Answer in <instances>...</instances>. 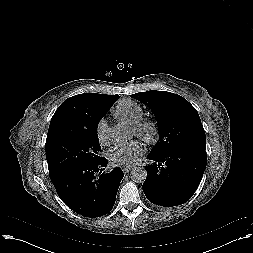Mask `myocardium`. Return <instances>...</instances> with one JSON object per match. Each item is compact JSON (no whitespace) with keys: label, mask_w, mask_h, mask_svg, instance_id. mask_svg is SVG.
<instances>
[{"label":"myocardium","mask_w":253,"mask_h":253,"mask_svg":"<svg viewBox=\"0 0 253 253\" xmlns=\"http://www.w3.org/2000/svg\"><path fill=\"white\" fill-rule=\"evenodd\" d=\"M133 130L136 136L149 144L155 142L159 131L157 122L151 118H142L133 124Z\"/></svg>","instance_id":"f54148a6"}]
</instances>
